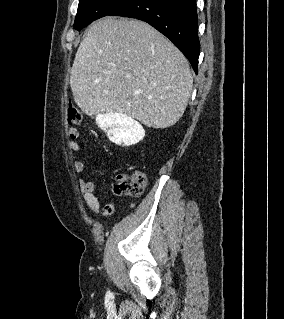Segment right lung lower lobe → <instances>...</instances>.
Listing matches in <instances>:
<instances>
[{"label": "right lung lower lobe", "mask_w": 284, "mask_h": 319, "mask_svg": "<svg viewBox=\"0 0 284 319\" xmlns=\"http://www.w3.org/2000/svg\"><path fill=\"white\" fill-rule=\"evenodd\" d=\"M109 15L136 18L152 25L179 48L197 74L200 42L195 0H130Z\"/></svg>", "instance_id": "right-lung-lower-lobe-1"}]
</instances>
